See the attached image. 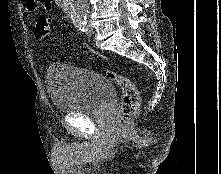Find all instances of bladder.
<instances>
[{
  "mask_svg": "<svg viewBox=\"0 0 221 174\" xmlns=\"http://www.w3.org/2000/svg\"><path fill=\"white\" fill-rule=\"evenodd\" d=\"M45 84L51 103L63 113L99 114L116 97L115 88L108 77L65 63H54L48 67Z\"/></svg>",
  "mask_w": 221,
  "mask_h": 174,
  "instance_id": "obj_1",
  "label": "bladder"
}]
</instances>
